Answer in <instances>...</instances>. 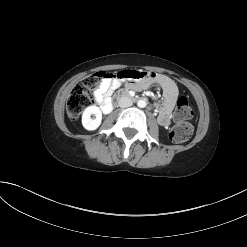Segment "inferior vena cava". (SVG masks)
<instances>
[{"mask_svg":"<svg viewBox=\"0 0 247 247\" xmlns=\"http://www.w3.org/2000/svg\"><path fill=\"white\" fill-rule=\"evenodd\" d=\"M133 104L131 98L127 95H123L119 98L118 105L121 108L130 107Z\"/></svg>","mask_w":247,"mask_h":247,"instance_id":"1","label":"inferior vena cava"}]
</instances>
